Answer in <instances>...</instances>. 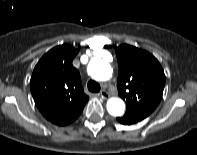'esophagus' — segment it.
I'll return each mask as SVG.
<instances>
[{
    "instance_id": "1",
    "label": "esophagus",
    "mask_w": 197,
    "mask_h": 155,
    "mask_svg": "<svg viewBox=\"0 0 197 155\" xmlns=\"http://www.w3.org/2000/svg\"><path fill=\"white\" fill-rule=\"evenodd\" d=\"M100 96L102 99H108L110 97L109 93L106 92L105 90H103L101 93H100Z\"/></svg>"
}]
</instances>
